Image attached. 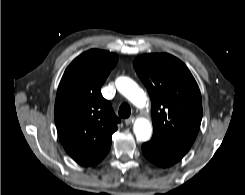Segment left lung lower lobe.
I'll use <instances>...</instances> for the list:
<instances>
[{
    "mask_svg": "<svg viewBox=\"0 0 245 195\" xmlns=\"http://www.w3.org/2000/svg\"><path fill=\"white\" fill-rule=\"evenodd\" d=\"M191 146L153 134L152 139L142 145L143 155L159 167H169L180 161Z\"/></svg>",
    "mask_w": 245,
    "mask_h": 195,
    "instance_id": "obj_1",
    "label": "left lung lower lobe"
}]
</instances>
